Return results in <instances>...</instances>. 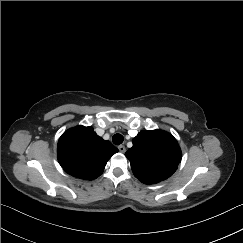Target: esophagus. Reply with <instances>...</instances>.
<instances>
[{"label": "esophagus", "instance_id": "1", "mask_svg": "<svg viewBox=\"0 0 243 243\" xmlns=\"http://www.w3.org/2000/svg\"><path fill=\"white\" fill-rule=\"evenodd\" d=\"M118 150L121 152V153H124L126 151V148L124 145H119L118 146Z\"/></svg>", "mask_w": 243, "mask_h": 243}]
</instances>
